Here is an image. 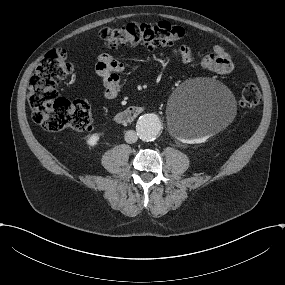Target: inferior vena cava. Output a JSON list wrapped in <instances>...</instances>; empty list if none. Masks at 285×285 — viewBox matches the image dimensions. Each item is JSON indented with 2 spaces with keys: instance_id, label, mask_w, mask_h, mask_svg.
Masks as SVG:
<instances>
[{
  "instance_id": "602c4592",
  "label": "inferior vena cava",
  "mask_w": 285,
  "mask_h": 285,
  "mask_svg": "<svg viewBox=\"0 0 285 285\" xmlns=\"http://www.w3.org/2000/svg\"><path fill=\"white\" fill-rule=\"evenodd\" d=\"M138 139V135L136 133V131L134 130H128L126 133H125V140L126 142L128 143H135Z\"/></svg>"
}]
</instances>
